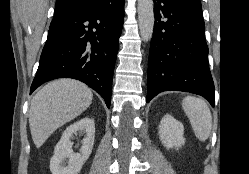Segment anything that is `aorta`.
I'll list each match as a JSON object with an SVG mask.
<instances>
[{"label":"aorta","mask_w":249,"mask_h":174,"mask_svg":"<svg viewBox=\"0 0 249 174\" xmlns=\"http://www.w3.org/2000/svg\"><path fill=\"white\" fill-rule=\"evenodd\" d=\"M138 21L140 35L143 41L148 42L154 29V5L153 0H138Z\"/></svg>","instance_id":"762f6f07"}]
</instances>
